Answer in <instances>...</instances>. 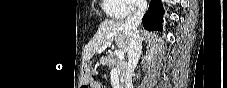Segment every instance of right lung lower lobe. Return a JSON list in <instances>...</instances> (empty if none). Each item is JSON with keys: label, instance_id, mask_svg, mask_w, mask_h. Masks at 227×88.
<instances>
[{"label": "right lung lower lobe", "instance_id": "right-lung-lower-lobe-1", "mask_svg": "<svg viewBox=\"0 0 227 88\" xmlns=\"http://www.w3.org/2000/svg\"><path fill=\"white\" fill-rule=\"evenodd\" d=\"M164 10L161 0H151L149 8L144 15L142 22L147 30H160L162 31V16Z\"/></svg>", "mask_w": 227, "mask_h": 88}]
</instances>
